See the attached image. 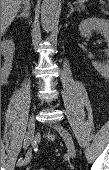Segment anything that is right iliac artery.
I'll return each mask as SVG.
<instances>
[{"instance_id": "right-iliac-artery-1", "label": "right iliac artery", "mask_w": 109, "mask_h": 170, "mask_svg": "<svg viewBox=\"0 0 109 170\" xmlns=\"http://www.w3.org/2000/svg\"><path fill=\"white\" fill-rule=\"evenodd\" d=\"M27 146H29V143H28V141L25 139V140H24V148L26 149ZM23 163H24L23 159L20 158V159L18 160V162H17V165H18V166H22Z\"/></svg>"}]
</instances>
